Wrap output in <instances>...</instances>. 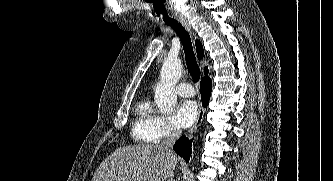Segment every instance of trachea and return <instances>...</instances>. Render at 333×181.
<instances>
[{
  "label": "trachea",
  "mask_w": 333,
  "mask_h": 181,
  "mask_svg": "<svg viewBox=\"0 0 333 181\" xmlns=\"http://www.w3.org/2000/svg\"><path fill=\"white\" fill-rule=\"evenodd\" d=\"M167 25L171 26L177 35L179 36L183 50L185 53L186 65L188 71L194 82H197L200 78V69L197 65L196 57L193 51L191 38L185 28L178 23L176 20H170L165 22Z\"/></svg>",
  "instance_id": "obj_1"
}]
</instances>
